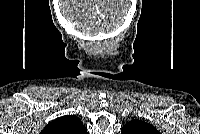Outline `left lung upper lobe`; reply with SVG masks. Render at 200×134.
I'll return each instance as SVG.
<instances>
[{"instance_id": "5c2ea615", "label": "left lung upper lobe", "mask_w": 200, "mask_h": 134, "mask_svg": "<svg viewBox=\"0 0 200 134\" xmlns=\"http://www.w3.org/2000/svg\"><path fill=\"white\" fill-rule=\"evenodd\" d=\"M121 134H159V131L149 123L134 119L121 129Z\"/></svg>"}]
</instances>
